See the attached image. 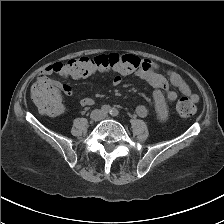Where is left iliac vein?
Listing matches in <instances>:
<instances>
[{
  "instance_id": "4c4485c4",
  "label": "left iliac vein",
  "mask_w": 224,
  "mask_h": 224,
  "mask_svg": "<svg viewBox=\"0 0 224 224\" xmlns=\"http://www.w3.org/2000/svg\"><path fill=\"white\" fill-rule=\"evenodd\" d=\"M103 117H104V118H107L108 116H107V115H103Z\"/></svg>"
}]
</instances>
